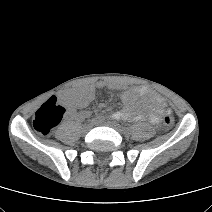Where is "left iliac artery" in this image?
I'll use <instances>...</instances> for the list:
<instances>
[{
	"mask_svg": "<svg viewBox=\"0 0 212 212\" xmlns=\"http://www.w3.org/2000/svg\"><path fill=\"white\" fill-rule=\"evenodd\" d=\"M124 129L127 130V131L129 130L128 127H124Z\"/></svg>",
	"mask_w": 212,
	"mask_h": 212,
	"instance_id": "left-iliac-artery-1",
	"label": "left iliac artery"
}]
</instances>
